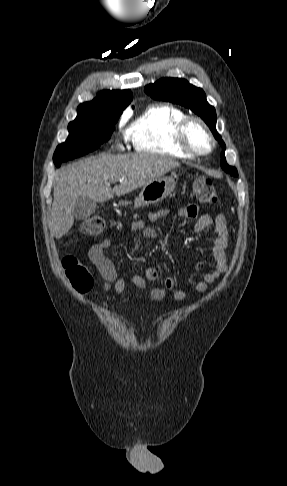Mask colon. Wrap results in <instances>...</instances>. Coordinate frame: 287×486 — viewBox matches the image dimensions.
Wrapping results in <instances>:
<instances>
[{"label": "colon", "mask_w": 287, "mask_h": 486, "mask_svg": "<svg viewBox=\"0 0 287 486\" xmlns=\"http://www.w3.org/2000/svg\"><path fill=\"white\" fill-rule=\"evenodd\" d=\"M193 191L197 199L205 204H217L218 195L213 182L205 176L196 177L193 181ZM105 228V220L98 215L86 219L81 225L85 235H100ZM63 267L72 286L81 293L89 292L94 285L93 274L89 266L74 256L63 259Z\"/></svg>", "instance_id": "colon-1"}]
</instances>
